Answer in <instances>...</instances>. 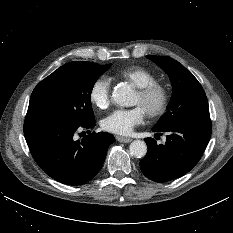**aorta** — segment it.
<instances>
[{
    "mask_svg": "<svg viewBox=\"0 0 233 233\" xmlns=\"http://www.w3.org/2000/svg\"><path fill=\"white\" fill-rule=\"evenodd\" d=\"M113 102L120 107H130L134 105V92L127 84L115 87L112 93ZM130 154L136 158H142L147 153V145L144 141L135 140L129 146Z\"/></svg>",
    "mask_w": 233,
    "mask_h": 233,
    "instance_id": "obj_1",
    "label": "aorta"
}]
</instances>
